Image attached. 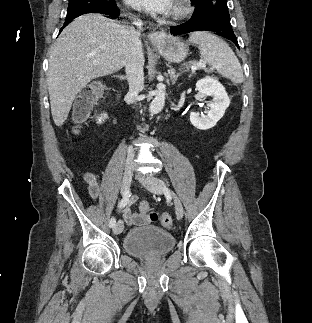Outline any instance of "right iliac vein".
Returning <instances> with one entry per match:
<instances>
[{
  "label": "right iliac vein",
  "instance_id": "obj_1",
  "mask_svg": "<svg viewBox=\"0 0 312 323\" xmlns=\"http://www.w3.org/2000/svg\"><path fill=\"white\" fill-rule=\"evenodd\" d=\"M132 169L129 166H126L124 173H123V178H122V185H121V192L122 194H125L131 185L132 181ZM114 234H121L123 231V222L119 220L117 224L114 227Z\"/></svg>",
  "mask_w": 312,
  "mask_h": 323
}]
</instances>
